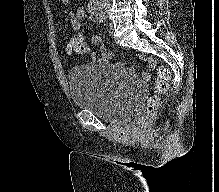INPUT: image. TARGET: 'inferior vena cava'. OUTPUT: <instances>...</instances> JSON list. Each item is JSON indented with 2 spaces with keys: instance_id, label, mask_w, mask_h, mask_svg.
I'll list each match as a JSON object with an SVG mask.
<instances>
[{
  "instance_id": "inferior-vena-cava-1",
  "label": "inferior vena cava",
  "mask_w": 219,
  "mask_h": 192,
  "mask_svg": "<svg viewBox=\"0 0 219 192\" xmlns=\"http://www.w3.org/2000/svg\"><path fill=\"white\" fill-rule=\"evenodd\" d=\"M103 3L104 6H108L111 0H98Z\"/></svg>"
}]
</instances>
